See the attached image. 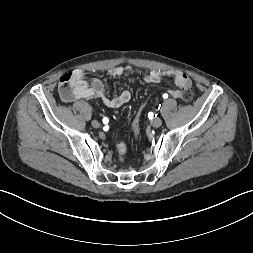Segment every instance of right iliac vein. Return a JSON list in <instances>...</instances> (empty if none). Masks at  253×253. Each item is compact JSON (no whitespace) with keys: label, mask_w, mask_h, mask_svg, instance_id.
Here are the masks:
<instances>
[{"label":"right iliac vein","mask_w":253,"mask_h":253,"mask_svg":"<svg viewBox=\"0 0 253 253\" xmlns=\"http://www.w3.org/2000/svg\"><path fill=\"white\" fill-rule=\"evenodd\" d=\"M91 124H92V126H93L94 128H99V127H100V123H99L97 120H93V121L91 122Z\"/></svg>","instance_id":"obj_1"}]
</instances>
